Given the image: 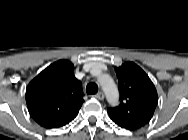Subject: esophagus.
Masks as SVG:
<instances>
[{
	"label": "esophagus",
	"instance_id": "34e87169",
	"mask_svg": "<svg viewBox=\"0 0 188 140\" xmlns=\"http://www.w3.org/2000/svg\"><path fill=\"white\" fill-rule=\"evenodd\" d=\"M94 97L98 100H103L104 99V94L102 92L97 93L94 95Z\"/></svg>",
	"mask_w": 188,
	"mask_h": 140
}]
</instances>
